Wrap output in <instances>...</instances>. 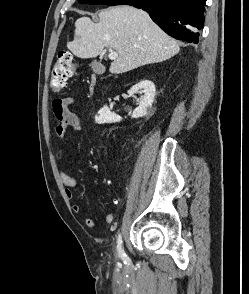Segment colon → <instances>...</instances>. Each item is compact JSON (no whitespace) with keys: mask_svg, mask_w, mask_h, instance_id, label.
Wrapping results in <instances>:
<instances>
[{"mask_svg":"<svg viewBox=\"0 0 249 294\" xmlns=\"http://www.w3.org/2000/svg\"><path fill=\"white\" fill-rule=\"evenodd\" d=\"M77 74V63L70 52H61L50 74V88L53 92H61L68 79L75 77Z\"/></svg>","mask_w":249,"mask_h":294,"instance_id":"colon-1","label":"colon"}]
</instances>
